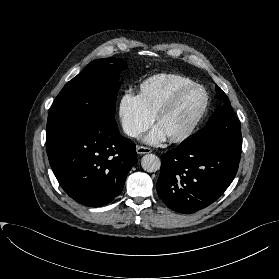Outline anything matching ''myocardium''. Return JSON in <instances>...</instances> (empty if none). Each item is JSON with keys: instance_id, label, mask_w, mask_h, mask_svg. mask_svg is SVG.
Segmentation results:
<instances>
[{"instance_id": "f54148a6", "label": "myocardium", "mask_w": 279, "mask_h": 279, "mask_svg": "<svg viewBox=\"0 0 279 279\" xmlns=\"http://www.w3.org/2000/svg\"><path fill=\"white\" fill-rule=\"evenodd\" d=\"M194 89H201L205 94V100L202 105V108L200 109V111L198 112V114L196 115V117L194 118L192 123L182 133L175 135V136L168 137V140L172 143H181V142L186 141L188 138H190L194 134V132L198 128V126L201 123L203 117L205 116L208 106H209L210 97H209V93H208L207 89L203 85L197 84V83H194V84H191V85H188V86H185V87L179 89L169 99V101L160 109V111L155 116V122L158 125L159 122L164 117H166L168 114H170L175 109V107L178 105L180 100L188 92H190Z\"/></svg>"}]
</instances>
